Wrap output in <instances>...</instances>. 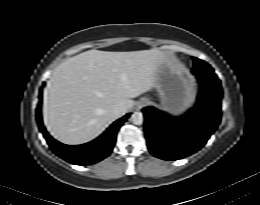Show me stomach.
I'll use <instances>...</instances> for the list:
<instances>
[{
  "instance_id": "obj_1",
  "label": "stomach",
  "mask_w": 260,
  "mask_h": 205,
  "mask_svg": "<svg viewBox=\"0 0 260 205\" xmlns=\"http://www.w3.org/2000/svg\"><path fill=\"white\" fill-rule=\"evenodd\" d=\"M155 88L161 107L173 115L183 114L192 104V84L172 57H167L158 66Z\"/></svg>"
}]
</instances>
